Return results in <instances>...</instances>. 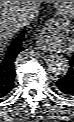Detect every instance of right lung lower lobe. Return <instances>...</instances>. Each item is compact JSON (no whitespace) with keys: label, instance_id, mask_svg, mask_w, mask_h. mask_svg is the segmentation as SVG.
<instances>
[{"label":"right lung lower lobe","instance_id":"98d812e1","mask_svg":"<svg viewBox=\"0 0 74 122\" xmlns=\"http://www.w3.org/2000/svg\"><path fill=\"white\" fill-rule=\"evenodd\" d=\"M24 29L8 47L4 57H0V98L6 96L14 86V62L18 54L23 51Z\"/></svg>","mask_w":74,"mask_h":122}]
</instances>
